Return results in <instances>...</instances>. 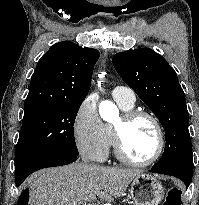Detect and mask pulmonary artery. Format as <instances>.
<instances>
[{"mask_svg": "<svg viewBox=\"0 0 199 205\" xmlns=\"http://www.w3.org/2000/svg\"><path fill=\"white\" fill-rule=\"evenodd\" d=\"M113 97L116 101H121L127 104H134L135 93L127 86H118L113 91Z\"/></svg>", "mask_w": 199, "mask_h": 205, "instance_id": "pulmonary-artery-1", "label": "pulmonary artery"}]
</instances>
